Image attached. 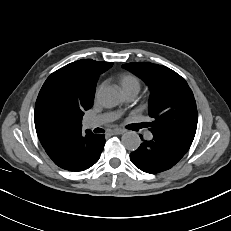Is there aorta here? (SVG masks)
Listing matches in <instances>:
<instances>
[{"mask_svg": "<svg viewBox=\"0 0 231 231\" xmlns=\"http://www.w3.org/2000/svg\"><path fill=\"white\" fill-rule=\"evenodd\" d=\"M97 99L106 108L117 106L121 101L118 89L113 86H105L97 92ZM122 143L126 149L135 151L141 144V139L135 131H128L122 135Z\"/></svg>", "mask_w": 231, "mask_h": 231, "instance_id": "1", "label": "aorta"}]
</instances>
